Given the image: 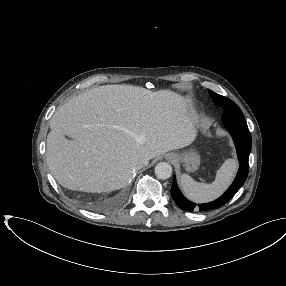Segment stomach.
<instances>
[{
  "label": "stomach",
  "instance_id": "obj_1",
  "mask_svg": "<svg viewBox=\"0 0 286 286\" xmlns=\"http://www.w3.org/2000/svg\"><path fill=\"white\" fill-rule=\"evenodd\" d=\"M178 159L184 163L188 172H194L200 165V156L194 149L183 151L178 155Z\"/></svg>",
  "mask_w": 286,
  "mask_h": 286
}]
</instances>
